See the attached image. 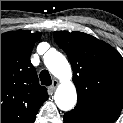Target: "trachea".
<instances>
[{"instance_id": "1", "label": "trachea", "mask_w": 123, "mask_h": 123, "mask_svg": "<svg viewBox=\"0 0 123 123\" xmlns=\"http://www.w3.org/2000/svg\"><path fill=\"white\" fill-rule=\"evenodd\" d=\"M40 80L42 85H51V76L47 70H42L40 72Z\"/></svg>"}]
</instances>
